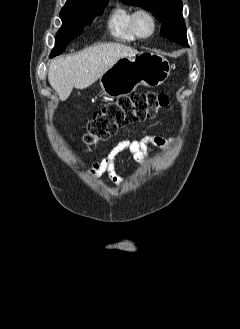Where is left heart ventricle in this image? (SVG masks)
Masks as SVG:
<instances>
[{
	"mask_svg": "<svg viewBox=\"0 0 240 329\" xmlns=\"http://www.w3.org/2000/svg\"><path fill=\"white\" fill-rule=\"evenodd\" d=\"M138 28H139L140 32L143 34L149 33L151 30V23H150L149 19L142 17L138 22Z\"/></svg>",
	"mask_w": 240,
	"mask_h": 329,
	"instance_id": "obj_1",
	"label": "left heart ventricle"
}]
</instances>
